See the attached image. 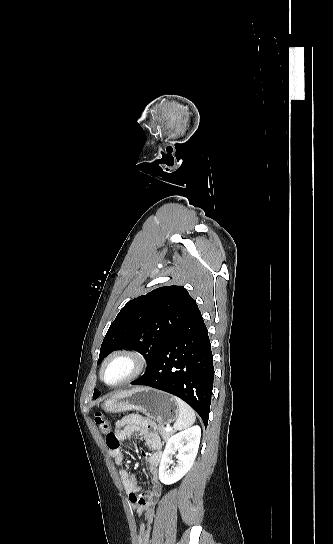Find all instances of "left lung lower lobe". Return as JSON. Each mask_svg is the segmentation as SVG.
<instances>
[{
  "mask_svg": "<svg viewBox=\"0 0 333 544\" xmlns=\"http://www.w3.org/2000/svg\"><path fill=\"white\" fill-rule=\"evenodd\" d=\"M213 378L208 331L195 305L163 345L146 373L131 384L150 386L181 398L207 426Z\"/></svg>",
  "mask_w": 333,
  "mask_h": 544,
  "instance_id": "left-lung-lower-lobe-1",
  "label": "left lung lower lobe"
}]
</instances>
